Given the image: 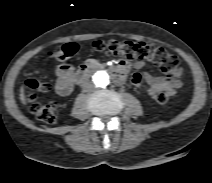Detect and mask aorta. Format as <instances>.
<instances>
[{
  "mask_svg": "<svg viewBox=\"0 0 212 183\" xmlns=\"http://www.w3.org/2000/svg\"><path fill=\"white\" fill-rule=\"evenodd\" d=\"M95 89H105L110 83V76L106 70L95 71L90 79Z\"/></svg>",
  "mask_w": 212,
  "mask_h": 183,
  "instance_id": "aorta-1",
  "label": "aorta"
}]
</instances>
